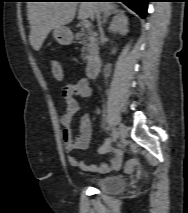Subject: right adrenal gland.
<instances>
[{
    "label": "right adrenal gland",
    "instance_id": "obj_1",
    "mask_svg": "<svg viewBox=\"0 0 188 213\" xmlns=\"http://www.w3.org/2000/svg\"><path fill=\"white\" fill-rule=\"evenodd\" d=\"M123 11L122 10H118L116 8L108 11V12H104L103 13V19H102V24L105 23L107 21V18L112 15V14H121Z\"/></svg>",
    "mask_w": 188,
    "mask_h": 213
}]
</instances>
